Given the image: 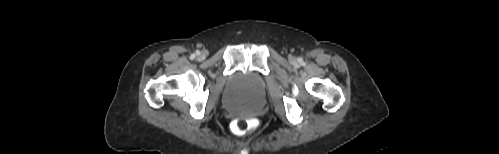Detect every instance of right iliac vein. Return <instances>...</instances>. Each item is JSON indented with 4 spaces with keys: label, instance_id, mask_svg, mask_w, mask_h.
Returning <instances> with one entry per match:
<instances>
[{
    "label": "right iliac vein",
    "instance_id": "right-iliac-vein-1",
    "mask_svg": "<svg viewBox=\"0 0 499 154\" xmlns=\"http://www.w3.org/2000/svg\"><path fill=\"white\" fill-rule=\"evenodd\" d=\"M203 57H204V54H203V53H201V54L199 55V58H203Z\"/></svg>",
    "mask_w": 499,
    "mask_h": 154
}]
</instances>
